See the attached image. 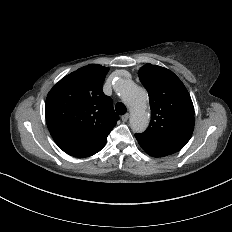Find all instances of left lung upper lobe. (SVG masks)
Here are the masks:
<instances>
[{"label":"left lung upper lobe","mask_w":232,"mask_h":232,"mask_svg":"<svg viewBox=\"0 0 232 232\" xmlns=\"http://www.w3.org/2000/svg\"><path fill=\"white\" fill-rule=\"evenodd\" d=\"M139 78L149 94L151 122L137 137L182 149L194 130V107L181 80L170 70L146 64L139 70Z\"/></svg>","instance_id":"5c2ea615"}]
</instances>
